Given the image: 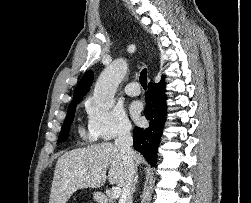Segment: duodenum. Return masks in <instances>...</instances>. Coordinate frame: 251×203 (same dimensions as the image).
Segmentation results:
<instances>
[{
  "mask_svg": "<svg viewBox=\"0 0 251 203\" xmlns=\"http://www.w3.org/2000/svg\"><path fill=\"white\" fill-rule=\"evenodd\" d=\"M96 199L99 203H107V198L103 193H97Z\"/></svg>",
  "mask_w": 251,
  "mask_h": 203,
  "instance_id": "1",
  "label": "duodenum"
}]
</instances>
